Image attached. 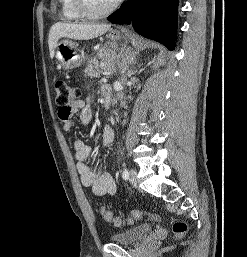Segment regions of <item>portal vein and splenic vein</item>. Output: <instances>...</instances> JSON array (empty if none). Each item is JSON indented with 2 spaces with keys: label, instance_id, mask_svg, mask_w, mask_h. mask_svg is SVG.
Here are the masks:
<instances>
[{
  "label": "portal vein and splenic vein",
  "instance_id": "1",
  "mask_svg": "<svg viewBox=\"0 0 247 257\" xmlns=\"http://www.w3.org/2000/svg\"><path fill=\"white\" fill-rule=\"evenodd\" d=\"M103 75L107 77V76H109V75H110V72L105 71V72L103 73Z\"/></svg>",
  "mask_w": 247,
  "mask_h": 257
}]
</instances>
